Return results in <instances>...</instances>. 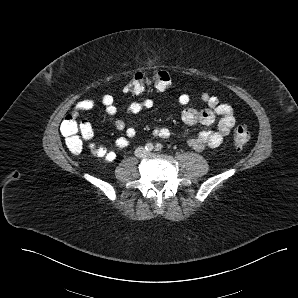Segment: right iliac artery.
I'll return each instance as SVG.
<instances>
[{
    "label": "right iliac artery",
    "mask_w": 298,
    "mask_h": 298,
    "mask_svg": "<svg viewBox=\"0 0 298 298\" xmlns=\"http://www.w3.org/2000/svg\"><path fill=\"white\" fill-rule=\"evenodd\" d=\"M145 149H146L147 151H152V150L154 149V145H153L152 143H147V144L145 145Z\"/></svg>",
    "instance_id": "82829eb1"
}]
</instances>
